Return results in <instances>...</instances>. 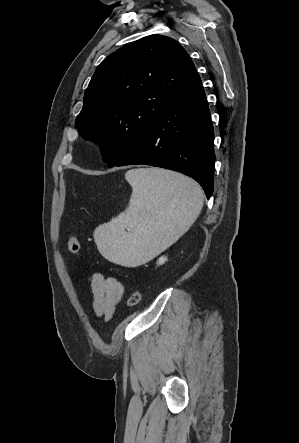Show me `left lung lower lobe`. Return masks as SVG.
<instances>
[{"mask_svg":"<svg viewBox=\"0 0 299 443\" xmlns=\"http://www.w3.org/2000/svg\"><path fill=\"white\" fill-rule=\"evenodd\" d=\"M213 141L210 111L196 73L114 166L145 164L181 172L195 179L209 199L214 187Z\"/></svg>","mask_w":299,"mask_h":443,"instance_id":"1","label":"left lung lower lobe"}]
</instances>
